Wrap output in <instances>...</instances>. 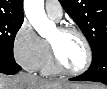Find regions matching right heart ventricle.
Returning a JSON list of instances; mask_svg holds the SVG:
<instances>
[{
    "instance_id": "obj_1",
    "label": "right heart ventricle",
    "mask_w": 107,
    "mask_h": 89,
    "mask_svg": "<svg viewBox=\"0 0 107 89\" xmlns=\"http://www.w3.org/2000/svg\"><path fill=\"white\" fill-rule=\"evenodd\" d=\"M39 70L44 75H55L59 72L54 66L48 42H46V54Z\"/></svg>"
}]
</instances>
